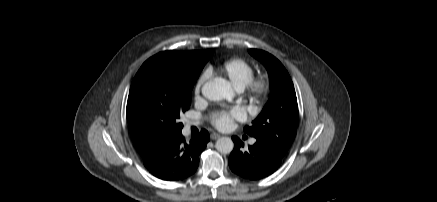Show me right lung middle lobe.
<instances>
[{"mask_svg":"<svg viewBox=\"0 0 437 202\" xmlns=\"http://www.w3.org/2000/svg\"><path fill=\"white\" fill-rule=\"evenodd\" d=\"M210 58L194 66L185 65L176 51L149 58L135 75L128 96L126 117L131 136L163 144L180 133V115L189 109L193 86Z\"/></svg>","mask_w":437,"mask_h":202,"instance_id":"obj_1","label":"right lung middle lobe"}]
</instances>
